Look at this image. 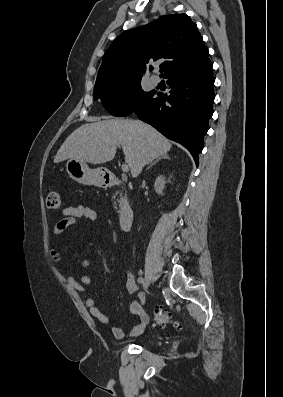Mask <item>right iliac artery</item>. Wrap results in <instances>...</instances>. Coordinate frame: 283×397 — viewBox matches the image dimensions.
I'll return each instance as SVG.
<instances>
[{"instance_id":"82829eb1","label":"right iliac artery","mask_w":283,"mask_h":397,"mask_svg":"<svg viewBox=\"0 0 283 397\" xmlns=\"http://www.w3.org/2000/svg\"><path fill=\"white\" fill-rule=\"evenodd\" d=\"M137 281L138 283H144V279L142 277H139Z\"/></svg>"}]
</instances>
